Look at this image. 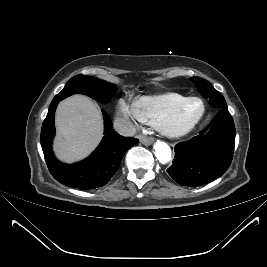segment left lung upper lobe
<instances>
[{
    "mask_svg": "<svg viewBox=\"0 0 267 267\" xmlns=\"http://www.w3.org/2000/svg\"><path fill=\"white\" fill-rule=\"evenodd\" d=\"M191 80L196 84L200 93L204 97L209 98V103L211 105L217 106L219 108H227L224 97L214 89L210 82L197 77H192Z\"/></svg>",
    "mask_w": 267,
    "mask_h": 267,
    "instance_id": "left-lung-upper-lobe-1",
    "label": "left lung upper lobe"
}]
</instances>
